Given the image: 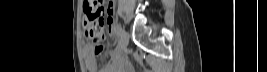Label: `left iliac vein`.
I'll return each instance as SVG.
<instances>
[{"instance_id":"1","label":"left iliac vein","mask_w":267,"mask_h":72,"mask_svg":"<svg viewBox=\"0 0 267 72\" xmlns=\"http://www.w3.org/2000/svg\"><path fill=\"white\" fill-rule=\"evenodd\" d=\"M129 43V35L125 30L121 32V46L124 50H126Z\"/></svg>"}]
</instances>
